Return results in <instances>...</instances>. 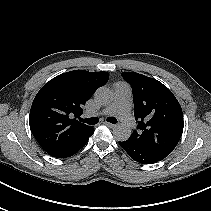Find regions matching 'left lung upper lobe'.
Here are the masks:
<instances>
[{"label":"left lung upper lobe","instance_id":"1","mask_svg":"<svg viewBox=\"0 0 211 211\" xmlns=\"http://www.w3.org/2000/svg\"><path fill=\"white\" fill-rule=\"evenodd\" d=\"M122 76L132 87L135 118L138 120L129 140L165 158L183 133V113L173 93L156 79L135 72Z\"/></svg>","mask_w":211,"mask_h":211}]
</instances>
